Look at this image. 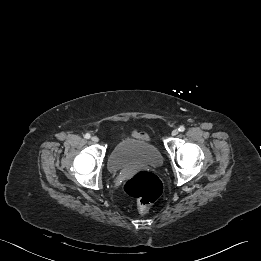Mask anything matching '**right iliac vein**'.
Here are the masks:
<instances>
[{"label": "right iliac vein", "instance_id": "obj_1", "mask_svg": "<svg viewBox=\"0 0 261 261\" xmlns=\"http://www.w3.org/2000/svg\"><path fill=\"white\" fill-rule=\"evenodd\" d=\"M91 140H92L93 142H95V143H97V142L99 141V139H98L97 136H93V137L91 138Z\"/></svg>", "mask_w": 261, "mask_h": 261}]
</instances>
